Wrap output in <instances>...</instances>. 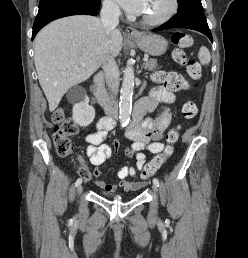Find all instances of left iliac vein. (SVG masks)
Returning a JSON list of instances; mask_svg holds the SVG:
<instances>
[{
    "instance_id": "1",
    "label": "left iliac vein",
    "mask_w": 248,
    "mask_h": 258,
    "mask_svg": "<svg viewBox=\"0 0 248 258\" xmlns=\"http://www.w3.org/2000/svg\"><path fill=\"white\" fill-rule=\"evenodd\" d=\"M152 189H153V191H154L155 194L158 193V186H157L156 184L153 183Z\"/></svg>"
}]
</instances>
